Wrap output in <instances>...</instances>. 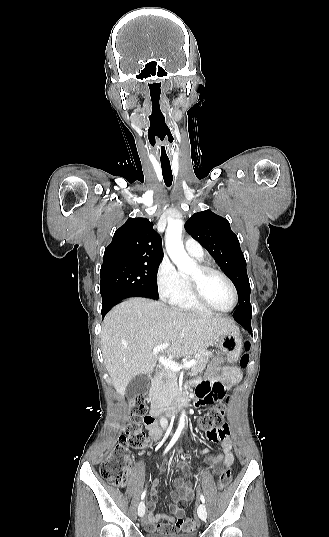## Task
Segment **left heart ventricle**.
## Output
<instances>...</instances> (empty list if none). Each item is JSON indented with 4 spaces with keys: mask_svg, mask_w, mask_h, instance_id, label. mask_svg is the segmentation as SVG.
Returning a JSON list of instances; mask_svg holds the SVG:
<instances>
[{
    "mask_svg": "<svg viewBox=\"0 0 329 537\" xmlns=\"http://www.w3.org/2000/svg\"><path fill=\"white\" fill-rule=\"evenodd\" d=\"M196 280L205 299L215 308L227 310L233 301L232 291L224 279L215 274L202 275L197 266L188 274Z\"/></svg>",
    "mask_w": 329,
    "mask_h": 537,
    "instance_id": "obj_1",
    "label": "left heart ventricle"
}]
</instances>
